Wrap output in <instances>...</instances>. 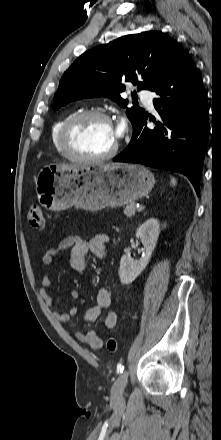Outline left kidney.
<instances>
[{"instance_id": "5707ae66", "label": "left kidney", "mask_w": 221, "mask_h": 440, "mask_svg": "<svg viewBox=\"0 0 221 440\" xmlns=\"http://www.w3.org/2000/svg\"><path fill=\"white\" fill-rule=\"evenodd\" d=\"M160 233L159 221L155 218L146 220L136 231V238L140 239L145 248V255L134 260L123 255L120 260L119 277L122 284L132 283L147 267L151 255L156 247Z\"/></svg>"}]
</instances>
